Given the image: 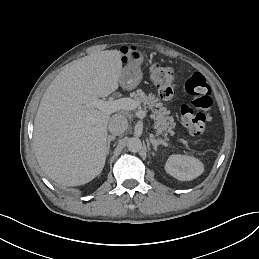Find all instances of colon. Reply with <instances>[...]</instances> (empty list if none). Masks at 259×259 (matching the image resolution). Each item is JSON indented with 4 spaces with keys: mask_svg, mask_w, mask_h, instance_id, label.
<instances>
[{
    "mask_svg": "<svg viewBox=\"0 0 259 259\" xmlns=\"http://www.w3.org/2000/svg\"><path fill=\"white\" fill-rule=\"evenodd\" d=\"M150 76L163 99H170L174 94L175 77L171 67L162 64H153ZM185 90L190 104L180 108L182 125L192 135H201L205 132L211 120V89L205 76L199 72L193 73L185 82Z\"/></svg>",
    "mask_w": 259,
    "mask_h": 259,
    "instance_id": "5ec220e1",
    "label": "colon"
}]
</instances>
